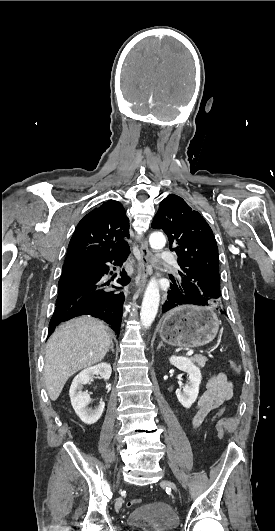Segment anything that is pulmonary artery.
I'll list each match as a JSON object with an SVG mask.
<instances>
[{"instance_id":"pulmonary-artery-1","label":"pulmonary artery","mask_w":275,"mask_h":531,"mask_svg":"<svg viewBox=\"0 0 275 531\" xmlns=\"http://www.w3.org/2000/svg\"><path fill=\"white\" fill-rule=\"evenodd\" d=\"M159 258L164 259L165 263L170 266V268L175 269L178 266L174 253L170 249L161 250L158 253Z\"/></svg>"}]
</instances>
